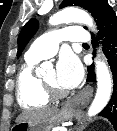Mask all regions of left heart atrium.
<instances>
[{
    "label": "left heart atrium",
    "instance_id": "obj_1",
    "mask_svg": "<svg viewBox=\"0 0 117 131\" xmlns=\"http://www.w3.org/2000/svg\"><path fill=\"white\" fill-rule=\"evenodd\" d=\"M56 73L59 86L64 89H72L81 82L83 67L74 54L64 53L58 61Z\"/></svg>",
    "mask_w": 117,
    "mask_h": 131
}]
</instances>
